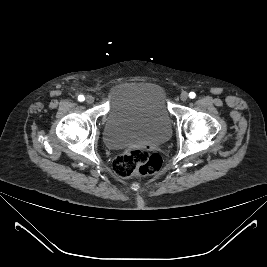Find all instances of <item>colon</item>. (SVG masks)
Returning <instances> with one entry per match:
<instances>
[{"instance_id":"colon-1","label":"colon","mask_w":267,"mask_h":267,"mask_svg":"<svg viewBox=\"0 0 267 267\" xmlns=\"http://www.w3.org/2000/svg\"><path fill=\"white\" fill-rule=\"evenodd\" d=\"M162 158L145 148L130 150L115 158L113 170L118 177L153 175L162 167Z\"/></svg>"}]
</instances>
